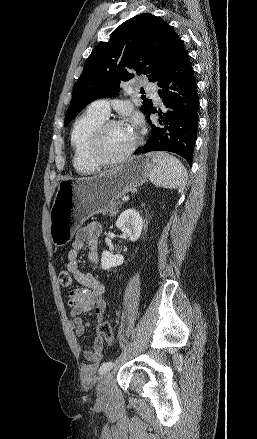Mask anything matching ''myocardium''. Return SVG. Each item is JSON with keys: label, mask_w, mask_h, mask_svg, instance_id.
I'll return each mask as SVG.
<instances>
[{"label": "myocardium", "mask_w": 257, "mask_h": 439, "mask_svg": "<svg viewBox=\"0 0 257 439\" xmlns=\"http://www.w3.org/2000/svg\"><path fill=\"white\" fill-rule=\"evenodd\" d=\"M124 123L125 122L122 120L106 119L103 122H101L93 131L89 141V152L93 160L98 165L121 162L126 158H128L140 145L142 141V137L137 132L135 141L126 150H124L123 152H121L120 154L114 157L105 156L102 145L106 131L112 126L120 125Z\"/></svg>", "instance_id": "f54148a6"}]
</instances>
